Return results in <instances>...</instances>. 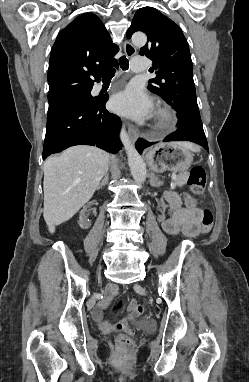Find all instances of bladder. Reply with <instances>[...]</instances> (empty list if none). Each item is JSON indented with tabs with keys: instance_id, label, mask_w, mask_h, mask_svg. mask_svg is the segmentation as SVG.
Here are the masks:
<instances>
[{
	"instance_id": "31cf9c89",
	"label": "bladder",
	"mask_w": 249,
	"mask_h": 382,
	"mask_svg": "<svg viewBox=\"0 0 249 382\" xmlns=\"http://www.w3.org/2000/svg\"><path fill=\"white\" fill-rule=\"evenodd\" d=\"M128 327H137L145 331H150L154 328V324L149 319H129L125 321Z\"/></svg>"
}]
</instances>
